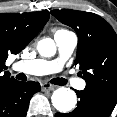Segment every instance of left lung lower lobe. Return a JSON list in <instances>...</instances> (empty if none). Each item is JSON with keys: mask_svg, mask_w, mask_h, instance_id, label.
<instances>
[{"mask_svg": "<svg viewBox=\"0 0 117 117\" xmlns=\"http://www.w3.org/2000/svg\"><path fill=\"white\" fill-rule=\"evenodd\" d=\"M79 102L70 113H56L55 117H109L116 103L117 96L98 91H75Z\"/></svg>", "mask_w": 117, "mask_h": 117, "instance_id": "1", "label": "left lung lower lobe"}]
</instances>
